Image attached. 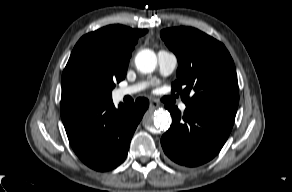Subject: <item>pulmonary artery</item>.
Returning <instances> with one entry per match:
<instances>
[{"mask_svg":"<svg viewBox=\"0 0 292 192\" xmlns=\"http://www.w3.org/2000/svg\"><path fill=\"white\" fill-rule=\"evenodd\" d=\"M157 58L161 75L169 76L170 74H172L178 64L176 55L167 50H160L157 53ZM146 87L147 83L145 82L131 85L128 87H123L117 90V96L119 98H123L125 96L133 95L137 92H140L141 90H144ZM179 109L182 112L185 111L186 105L184 103L180 104Z\"/></svg>","mask_w":292,"mask_h":192,"instance_id":"1","label":"pulmonary artery"}]
</instances>
